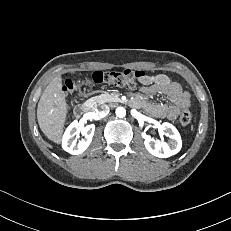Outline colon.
Segmentation results:
<instances>
[{"mask_svg": "<svg viewBox=\"0 0 231 231\" xmlns=\"http://www.w3.org/2000/svg\"><path fill=\"white\" fill-rule=\"evenodd\" d=\"M145 73L137 70L123 71H97L94 72L86 81L67 80L64 91L70 94L81 88L85 82L109 85L118 88H135L142 84ZM192 121V114L189 110H183L179 116V122L183 127H187Z\"/></svg>", "mask_w": 231, "mask_h": 231, "instance_id": "5ec220e1", "label": "colon"}]
</instances>
